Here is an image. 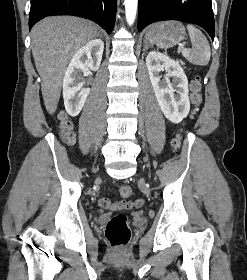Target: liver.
<instances>
[{
  "label": "liver",
  "instance_id": "6515ba94",
  "mask_svg": "<svg viewBox=\"0 0 247 280\" xmlns=\"http://www.w3.org/2000/svg\"><path fill=\"white\" fill-rule=\"evenodd\" d=\"M97 36L93 22L72 16L46 17L32 28V54L49 114L57 109L62 80L72 56Z\"/></svg>",
  "mask_w": 247,
  "mask_h": 280
}]
</instances>
